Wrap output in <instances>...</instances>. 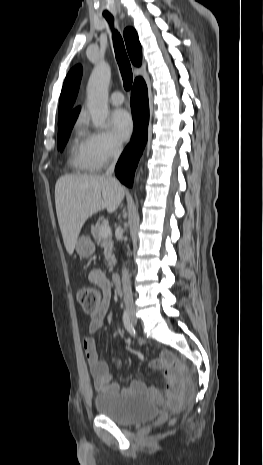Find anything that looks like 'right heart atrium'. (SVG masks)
<instances>
[{
	"label": "right heart atrium",
	"instance_id": "right-heart-atrium-1",
	"mask_svg": "<svg viewBox=\"0 0 263 465\" xmlns=\"http://www.w3.org/2000/svg\"><path fill=\"white\" fill-rule=\"evenodd\" d=\"M86 138L89 157L97 169L115 158L121 150V143L108 131H92Z\"/></svg>",
	"mask_w": 263,
	"mask_h": 465
}]
</instances>
